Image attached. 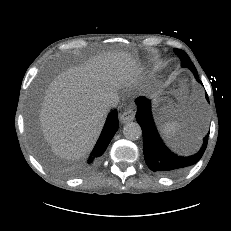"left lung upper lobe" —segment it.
Segmentation results:
<instances>
[{"label":"left lung upper lobe","mask_w":231,"mask_h":231,"mask_svg":"<svg viewBox=\"0 0 231 231\" xmlns=\"http://www.w3.org/2000/svg\"><path fill=\"white\" fill-rule=\"evenodd\" d=\"M174 51L180 57L182 67L189 68L193 72L194 76H197L198 75L197 70L193 65V63L191 62V60L189 59L188 55L180 49H175Z\"/></svg>","instance_id":"obj_1"}]
</instances>
